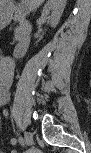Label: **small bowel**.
<instances>
[{
	"label": "small bowel",
	"mask_w": 91,
	"mask_h": 153,
	"mask_svg": "<svg viewBox=\"0 0 91 153\" xmlns=\"http://www.w3.org/2000/svg\"><path fill=\"white\" fill-rule=\"evenodd\" d=\"M14 67L8 58L0 61V103L5 105L10 100V87L13 81ZM16 138L10 139L11 145H16Z\"/></svg>",
	"instance_id": "obj_1"
}]
</instances>
